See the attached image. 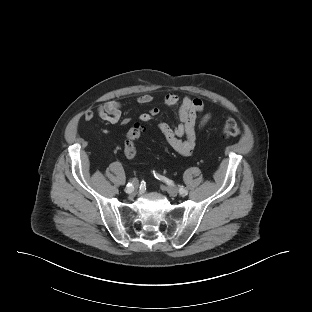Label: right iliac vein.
I'll return each mask as SVG.
<instances>
[{"label": "right iliac vein", "mask_w": 312, "mask_h": 312, "mask_svg": "<svg viewBox=\"0 0 312 312\" xmlns=\"http://www.w3.org/2000/svg\"><path fill=\"white\" fill-rule=\"evenodd\" d=\"M138 185H139V183H138V180L137 179H134L133 180V186L137 189L138 188ZM132 193V192H131ZM133 194V193H132Z\"/></svg>", "instance_id": "obj_1"}]
</instances>
